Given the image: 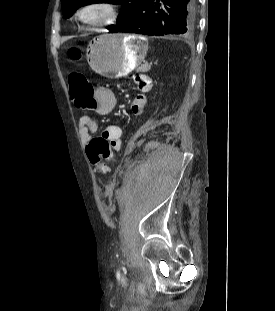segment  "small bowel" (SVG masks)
Listing matches in <instances>:
<instances>
[{"mask_svg": "<svg viewBox=\"0 0 275 311\" xmlns=\"http://www.w3.org/2000/svg\"><path fill=\"white\" fill-rule=\"evenodd\" d=\"M138 82L136 86V92L134 94V100L131 105V112L134 114H141L144 112L146 103L144 102V93H153V87H155V80H146V73L138 74ZM142 99V100H141ZM116 107V99L114 94L105 87H99L96 89L95 99L91 105H85V112H95L100 115H106L111 113ZM98 125L92 117L84 115L79 120V135L84 142H88L92 135L98 132ZM102 135L106 136L113 142V148L118 150L121 147L122 130L118 125L110 124L103 128Z\"/></svg>", "mask_w": 275, "mask_h": 311, "instance_id": "c3829d8e", "label": "small bowel"}]
</instances>
